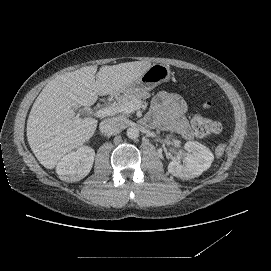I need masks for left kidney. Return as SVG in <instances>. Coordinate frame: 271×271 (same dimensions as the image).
Segmentation results:
<instances>
[{
	"label": "left kidney",
	"mask_w": 271,
	"mask_h": 271,
	"mask_svg": "<svg viewBox=\"0 0 271 271\" xmlns=\"http://www.w3.org/2000/svg\"><path fill=\"white\" fill-rule=\"evenodd\" d=\"M187 156L183 159V164L178 159H174L168 165L171 174L182 179H190L202 174L214 161V154L209 148L201 143L189 141L185 144Z\"/></svg>",
	"instance_id": "obj_1"
}]
</instances>
